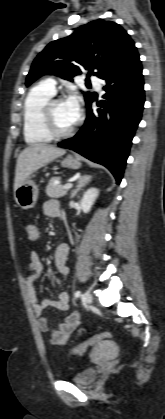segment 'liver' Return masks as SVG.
<instances>
[{
    "label": "liver",
    "mask_w": 165,
    "mask_h": 419,
    "mask_svg": "<svg viewBox=\"0 0 165 419\" xmlns=\"http://www.w3.org/2000/svg\"><path fill=\"white\" fill-rule=\"evenodd\" d=\"M65 153L64 149L49 144H34L26 147L17 159L14 191L38 169Z\"/></svg>",
    "instance_id": "1"
}]
</instances>
